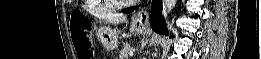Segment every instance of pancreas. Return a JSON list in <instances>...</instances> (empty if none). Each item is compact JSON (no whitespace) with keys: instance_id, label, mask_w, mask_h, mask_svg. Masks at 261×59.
Instances as JSON below:
<instances>
[{"instance_id":"obj_1","label":"pancreas","mask_w":261,"mask_h":59,"mask_svg":"<svg viewBox=\"0 0 261 59\" xmlns=\"http://www.w3.org/2000/svg\"><path fill=\"white\" fill-rule=\"evenodd\" d=\"M132 47L129 44H126L124 48L120 51V59H128L129 52L132 51Z\"/></svg>"}]
</instances>
